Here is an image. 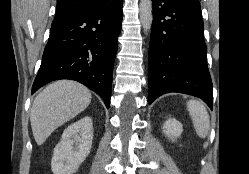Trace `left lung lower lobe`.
Listing matches in <instances>:
<instances>
[{"label": "left lung lower lobe", "instance_id": "obj_1", "mask_svg": "<svg viewBox=\"0 0 249 174\" xmlns=\"http://www.w3.org/2000/svg\"><path fill=\"white\" fill-rule=\"evenodd\" d=\"M149 46V99L169 92L201 98L212 109L201 11L182 0H152Z\"/></svg>", "mask_w": 249, "mask_h": 174}]
</instances>
